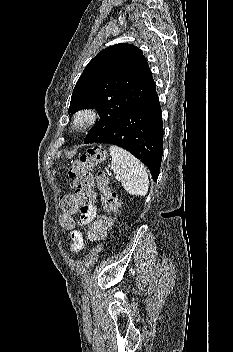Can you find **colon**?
Segmentation results:
<instances>
[{
  "instance_id": "5ec220e1",
  "label": "colon",
  "mask_w": 233,
  "mask_h": 352,
  "mask_svg": "<svg viewBox=\"0 0 233 352\" xmlns=\"http://www.w3.org/2000/svg\"><path fill=\"white\" fill-rule=\"evenodd\" d=\"M104 158L105 151L103 148L95 146L81 154L70 167L68 175L73 180L75 194L63 196L60 200V224L63 228L70 229L73 227V216L78 207H86L93 202V178L90 171L103 162ZM97 186L101 191L102 204L107 214L100 216L90 224L87 235L91 241H100L106 237L107 232L114 223V216L119 207V200L110 189L108 177L104 172L98 173Z\"/></svg>"
}]
</instances>
